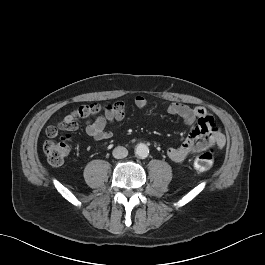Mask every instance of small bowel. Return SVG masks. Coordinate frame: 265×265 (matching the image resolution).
Segmentation results:
<instances>
[{"mask_svg": "<svg viewBox=\"0 0 265 265\" xmlns=\"http://www.w3.org/2000/svg\"><path fill=\"white\" fill-rule=\"evenodd\" d=\"M135 105L138 108H145L147 106L146 98L137 96ZM167 111L172 115L181 117L186 124L192 126L188 137L181 145L168 148L167 156L172 162L181 163L188 155L211 146L218 148L225 146L224 134L220 132L214 118L209 116L203 107L193 108L182 103H171ZM125 116L126 105L123 102H117L110 106L107 112L90 123L86 127V133L97 141L108 140L112 137V133L106 129L108 123L122 121Z\"/></svg>", "mask_w": 265, "mask_h": 265, "instance_id": "small-bowel-1", "label": "small bowel"}]
</instances>
